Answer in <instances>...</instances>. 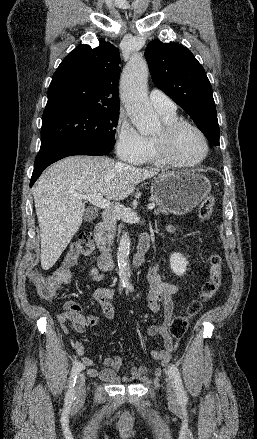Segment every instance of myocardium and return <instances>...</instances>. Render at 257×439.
Segmentation results:
<instances>
[{
	"mask_svg": "<svg viewBox=\"0 0 257 439\" xmlns=\"http://www.w3.org/2000/svg\"><path fill=\"white\" fill-rule=\"evenodd\" d=\"M184 128L194 130L200 136L204 144L203 155L194 162L179 161L172 152L173 140ZM154 141L162 161L181 169H190L199 166L205 161L210 151L209 141L205 133L197 125L187 120H176L174 122L164 123L161 132L154 136Z\"/></svg>",
	"mask_w": 257,
	"mask_h": 439,
	"instance_id": "f54148a6",
	"label": "myocardium"
}]
</instances>
